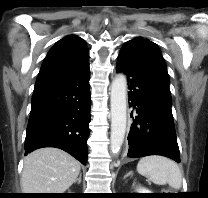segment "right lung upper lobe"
I'll return each instance as SVG.
<instances>
[{"label": "right lung upper lobe", "instance_id": "1", "mask_svg": "<svg viewBox=\"0 0 208 198\" xmlns=\"http://www.w3.org/2000/svg\"><path fill=\"white\" fill-rule=\"evenodd\" d=\"M89 52L84 41L77 36L59 40L48 52L40 69L35 88L64 82L89 66Z\"/></svg>", "mask_w": 208, "mask_h": 198}]
</instances>
